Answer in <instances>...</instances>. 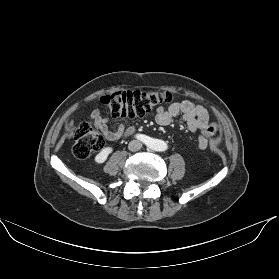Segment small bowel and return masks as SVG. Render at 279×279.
<instances>
[{
  "mask_svg": "<svg viewBox=\"0 0 279 279\" xmlns=\"http://www.w3.org/2000/svg\"><path fill=\"white\" fill-rule=\"evenodd\" d=\"M181 115L183 121L187 124L191 132L195 133L200 130L202 133L198 137V147L201 150H205L208 147V137L205 134L209 124L208 111L192 101L183 100L180 102H174L167 108L160 107L157 110L155 121L161 126H165L171 123V121ZM91 117L94 120L98 129L102 131L108 140H116L133 131V127L126 128L124 124H120L116 130L112 131L107 128V119L103 117L98 109H95L91 113Z\"/></svg>",
  "mask_w": 279,
  "mask_h": 279,
  "instance_id": "c3829d8e",
  "label": "small bowel"
}]
</instances>
